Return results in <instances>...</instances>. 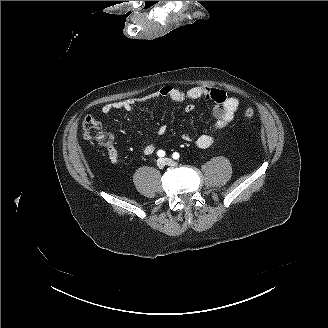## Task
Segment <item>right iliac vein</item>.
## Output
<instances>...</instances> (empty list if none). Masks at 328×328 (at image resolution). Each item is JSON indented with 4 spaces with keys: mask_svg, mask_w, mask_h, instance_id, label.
<instances>
[{
    "mask_svg": "<svg viewBox=\"0 0 328 328\" xmlns=\"http://www.w3.org/2000/svg\"><path fill=\"white\" fill-rule=\"evenodd\" d=\"M157 165H158V167H159L160 169H162V168L165 167L166 163H165V161H164L163 159H158V161H157Z\"/></svg>",
    "mask_w": 328,
    "mask_h": 328,
    "instance_id": "obj_1",
    "label": "right iliac vein"
}]
</instances>
